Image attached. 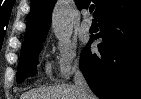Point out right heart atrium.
Returning a JSON list of instances; mask_svg holds the SVG:
<instances>
[{"instance_id": "right-heart-atrium-1", "label": "right heart atrium", "mask_w": 141, "mask_h": 99, "mask_svg": "<svg viewBox=\"0 0 141 99\" xmlns=\"http://www.w3.org/2000/svg\"><path fill=\"white\" fill-rule=\"evenodd\" d=\"M80 68L77 46L70 41H62L56 45V72L61 79H68Z\"/></svg>"}]
</instances>
